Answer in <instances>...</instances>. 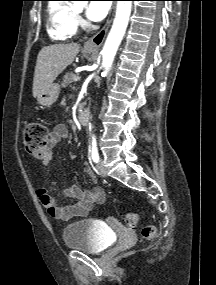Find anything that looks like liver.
<instances>
[{"instance_id":"liver-1","label":"liver","mask_w":216,"mask_h":285,"mask_svg":"<svg viewBox=\"0 0 216 285\" xmlns=\"http://www.w3.org/2000/svg\"><path fill=\"white\" fill-rule=\"evenodd\" d=\"M79 50L78 43L55 44L41 49L37 57L33 79V96L35 98L74 61Z\"/></svg>"}]
</instances>
